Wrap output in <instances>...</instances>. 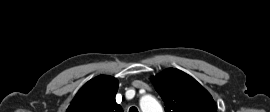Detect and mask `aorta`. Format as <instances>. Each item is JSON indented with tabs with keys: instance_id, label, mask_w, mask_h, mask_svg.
<instances>
[{
	"instance_id": "762f6f07",
	"label": "aorta",
	"mask_w": 270,
	"mask_h": 112,
	"mask_svg": "<svg viewBox=\"0 0 270 112\" xmlns=\"http://www.w3.org/2000/svg\"><path fill=\"white\" fill-rule=\"evenodd\" d=\"M140 107L143 112H163L159 102L151 95H145L140 99Z\"/></svg>"
}]
</instances>
